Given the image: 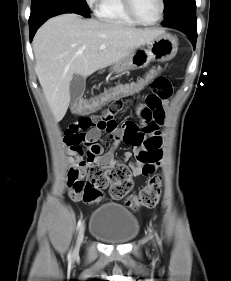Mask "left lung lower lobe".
Returning a JSON list of instances; mask_svg holds the SVG:
<instances>
[{
  "mask_svg": "<svg viewBox=\"0 0 231 281\" xmlns=\"http://www.w3.org/2000/svg\"><path fill=\"white\" fill-rule=\"evenodd\" d=\"M164 26H173L184 33L190 38L193 46H196L197 40V24H196V8H187L180 10L162 23Z\"/></svg>",
  "mask_w": 231,
  "mask_h": 281,
  "instance_id": "1",
  "label": "left lung lower lobe"
}]
</instances>
